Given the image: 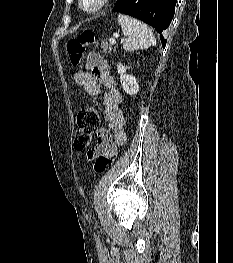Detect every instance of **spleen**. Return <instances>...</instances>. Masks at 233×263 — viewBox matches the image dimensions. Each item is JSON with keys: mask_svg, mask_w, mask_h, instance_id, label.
<instances>
[{"mask_svg": "<svg viewBox=\"0 0 233 263\" xmlns=\"http://www.w3.org/2000/svg\"><path fill=\"white\" fill-rule=\"evenodd\" d=\"M118 23L125 36V51L131 52L156 45L155 36L145 23L123 14L118 15Z\"/></svg>", "mask_w": 233, "mask_h": 263, "instance_id": "3e777b00", "label": "spleen"}]
</instances>
